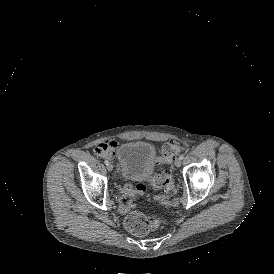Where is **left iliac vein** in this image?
<instances>
[{
    "mask_svg": "<svg viewBox=\"0 0 274 274\" xmlns=\"http://www.w3.org/2000/svg\"><path fill=\"white\" fill-rule=\"evenodd\" d=\"M174 164H175V166H176V167H180V166H181V164H182L181 159H179V158H178V159H176Z\"/></svg>",
    "mask_w": 274,
    "mask_h": 274,
    "instance_id": "obj_1",
    "label": "left iliac vein"
}]
</instances>
